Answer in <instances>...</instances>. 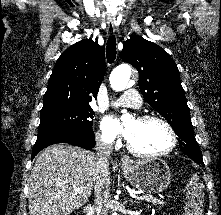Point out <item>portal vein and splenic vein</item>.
Segmentation results:
<instances>
[{"mask_svg": "<svg viewBox=\"0 0 221 215\" xmlns=\"http://www.w3.org/2000/svg\"><path fill=\"white\" fill-rule=\"evenodd\" d=\"M74 191L76 192V193H83V190H81V189H77V188H75L74 189ZM147 196H138V197H135L137 200H143V199H145Z\"/></svg>", "mask_w": 221, "mask_h": 215, "instance_id": "obj_1", "label": "portal vein and splenic vein"}]
</instances>
